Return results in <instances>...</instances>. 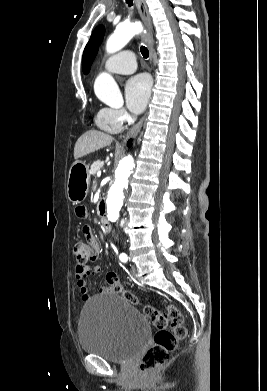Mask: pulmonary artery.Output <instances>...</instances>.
<instances>
[{
  "label": "pulmonary artery",
  "mask_w": 267,
  "mask_h": 391,
  "mask_svg": "<svg viewBox=\"0 0 267 391\" xmlns=\"http://www.w3.org/2000/svg\"><path fill=\"white\" fill-rule=\"evenodd\" d=\"M104 68L110 73H133L137 68L135 55L132 51L129 50L120 51L105 61Z\"/></svg>",
  "instance_id": "1"
}]
</instances>
